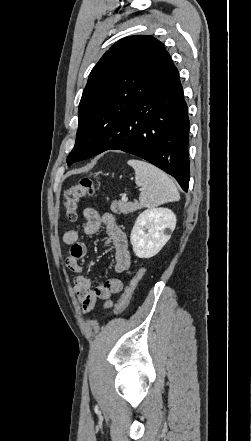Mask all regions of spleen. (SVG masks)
<instances>
[{"label": "spleen", "mask_w": 251, "mask_h": 441, "mask_svg": "<svg viewBox=\"0 0 251 441\" xmlns=\"http://www.w3.org/2000/svg\"><path fill=\"white\" fill-rule=\"evenodd\" d=\"M127 163L135 170V183L142 187L139 196L142 207L152 208L180 199L174 182L162 170L138 159H130Z\"/></svg>", "instance_id": "obj_1"}]
</instances>
